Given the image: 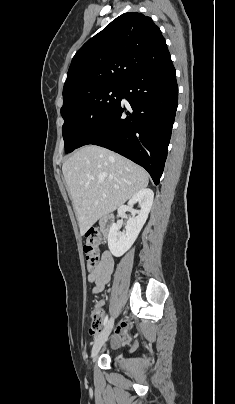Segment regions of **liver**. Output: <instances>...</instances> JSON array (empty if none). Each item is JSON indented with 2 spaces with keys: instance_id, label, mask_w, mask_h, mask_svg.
Masks as SVG:
<instances>
[{
  "instance_id": "6515ba94",
  "label": "liver",
  "mask_w": 235,
  "mask_h": 404,
  "mask_svg": "<svg viewBox=\"0 0 235 404\" xmlns=\"http://www.w3.org/2000/svg\"><path fill=\"white\" fill-rule=\"evenodd\" d=\"M62 172L82 235L149 182L148 173L142 167L96 145L75 151L64 162Z\"/></svg>"
}]
</instances>
